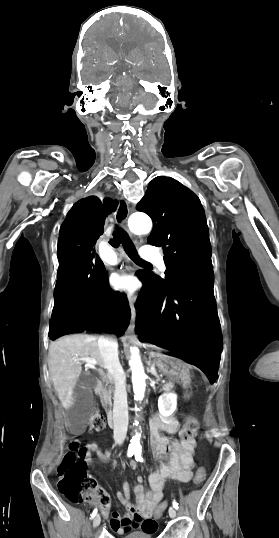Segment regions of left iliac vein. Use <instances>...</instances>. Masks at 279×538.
I'll return each mask as SVG.
<instances>
[{
	"instance_id": "obj_1",
	"label": "left iliac vein",
	"mask_w": 279,
	"mask_h": 538,
	"mask_svg": "<svg viewBox=\"0 0 279 538\" xmlns=\"http://www.w3.org/2000/svg\"><path fill=\"white\" fill-rule=\"evenodd\" d=\"M169 516H170L171 518H175V517H176V510H175L174 507H170V508H169Z\"/></svg>"
}]
</instances>
